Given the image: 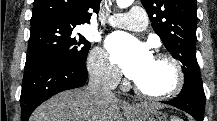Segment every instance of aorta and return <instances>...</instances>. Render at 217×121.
I'll return each instance as SVG.
<instances>
[{"mask_svg": "<svg viewBox=\"0 0 217 121\" xmlns=\"http://www.w3.org/2000/svg\"><path fill=\"white\" fill-rule=\"evenodd\" d=\"M116 2L120 8H127L133 3V0H116Z\"/></svg>", "mask_w": 217, "mask_h": 121, "instance_id": "1", "label": "aorta"}]
</instances>
